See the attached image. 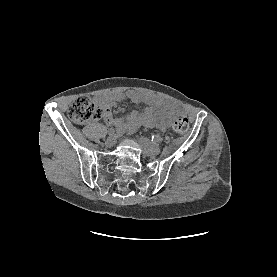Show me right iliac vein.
Masks as SVG:
<instances>
[{
	"mask_svg": "<svg viewBox=\"0 0 277 277\" xmlns=\"http://www.w3.org/2000/svg\"><path fill=\"white\" fill-rule=\"evenodd\" d=\"M116 140L117 134L114 133L108 136L104 144L106 147H112L116 143Z\"/></svg>",
	"mask_w": 277,
	"mask_h": 277,
	"instance_id": "obj_1",
	"label": "right iliac vein"
}]
</instances>
